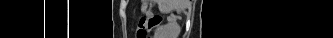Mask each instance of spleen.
<instances>
[{
    "label": "spleen",
    "mask_w": 333,
    "mask_h": 38,
    "mask_svg": "<svg viewBox=\"0 0 333 38\" xmlns=\"http://www.w3.org/2000/svg\"><path fill=\"white\" fill-rule=\"evenodd\" d=\"M168 9V5L165 6L164 10H167Z\"/></svg>",
    "instance_id": "1"
}]
</instances>
